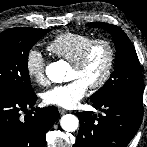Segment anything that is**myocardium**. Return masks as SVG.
<instances>
[{
	"mask_svg": "<svg viewBox=\"0 0 147 147\" xmlns=\"http://www.w3.org/2000/svg\"><path fill=\"white\" fill-rule=\"evenodd\" d=\"M104 45L108 51V62L102 76L94 83L90 84L91 89H100L109 81L115 66L116 51L113 43L107 38H96L93 39L80 53L78 58L71 63L72 67L81 69L87 63L92 51L98 46Z\"/></svg>",
	"mask_w": 147,
	"mask_h": 147,
	"instance_id": "obj_1",
	"label": "myocardium"
}]
</instances>
